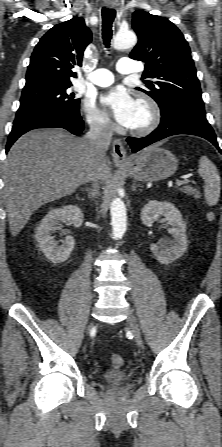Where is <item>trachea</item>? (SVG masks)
I'll return each instance as SVG.
<instances>
[{
    "instance_id": "trachea-1",
    "label": "trachea",
    "mask_w": 222,
    "mask_h": 447,
    "mask_svg": "<svg viewBox=\"0 0 222 447\" xmlns=\"http://www.w3.org/2000/svg\"><path fill=\"white\" fill-rule=\"evenodd\" d=\"M116 12L114 9L103 8L102 9V38L104 45L109 48L112 38V23L114 21Z\"/></svg>"
}]
</instances>
